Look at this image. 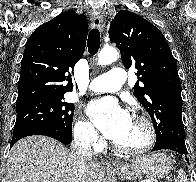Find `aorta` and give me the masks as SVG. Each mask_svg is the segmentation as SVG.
Returning <instances> with one entry per match:
<instances>
[{"mask_svg":"<svg viewBox=\"0 0 196 182\" xmlns=\"http://www.w3.org/2000/svg\"><path fill=\"white\" fill-rule=\"evenodd\" d=\"M118 55L117 50L114 48H103L98 54V63L100 65H109L117 60Z\"/></svg>","mask_w":196,"mask_h":182,"instance_id":"obj_1","label":"aorta"}]
</instances>
